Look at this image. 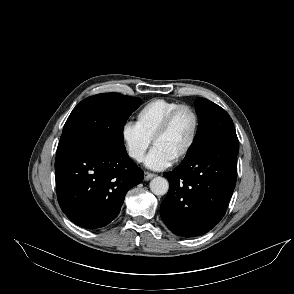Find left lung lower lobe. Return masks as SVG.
Segmentation results:
<instances>
[{"label":"left lung lower lobe","instance_id":"obj_1","mask_svg":"<svg viewBox=\"0 0 294 294\" xmlns=\"http://www.w3.org/2000/svg\"><path fill=\"white\" fill-rule=\"evenodd\" d=\"M236 133L198 144L172 172L160 215L176 235L194 237L210 231L224 216L236 184Z\"/></svg>","mask_w":294,"mask_h":294}]
</instances>
